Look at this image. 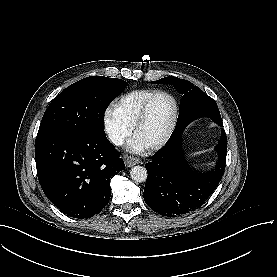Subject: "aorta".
I'll use <instances>...</instances> for the list:
<instances>
[{"instance_id": "obj_1", "label": "aorta", "mask_w": 277, "mask_h": 277, "mask_svg": "<svg viewBox=\"0 0 277 277\" xmlns=\"http://www.w3.org/2000/svg\"><path fill=\"white\" fill-rule=\"evenodd\" d=\"M147 170L145 167L137 165L134 166L130 171V176L132 180H134L137 183L145 182L147 179Z\"/></svg>"}]
</instances>
